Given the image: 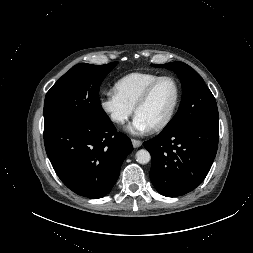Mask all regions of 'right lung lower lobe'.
<instances>
[{
	"mask_svg": "<svg viewBox=\"0 0 253 253\" xmlns=\"http://www.w3.org/2000/svg\"><path fill=\"white\" fill-rule=\"evenodd\" d=\"M44 143L61 181L91 199L111 191L124 159L133 150L130 139L117 132L108 117L56 123L44 128Z\"/></svg>",
	"mask_w": 253,
	"mask_h": 253,
	"instance_id": "obj_1",
	"label": "right lung lower lobe"
}]
</instances>
